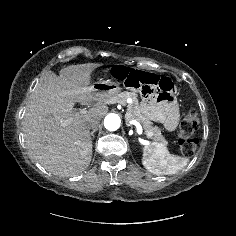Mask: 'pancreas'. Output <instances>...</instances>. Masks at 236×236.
Returning a JSON list of instances; mask_svg holds the SVG:
<instances>
[{
	"mask_svg": "<svg viewBox=\"0 0 236 236\" xmlns=\"http://www.w3.org/2000/svg\"><path fill=\"white\" fill-rule=\"evenodd\" d=\"M128 98H131L133 103L128 104L127 106L126 119L138 121L142 125L145 134L150 133V135H147L148 138H151L155 143H158L166 148L168 142L162 135L161 129L158 126H153V123L141 113L137 95L135 93L121 92L113 97L111 101H116L124 105L126 104V100Z\"/></svg>",
	"mask_w": 236,
	"mask_h": 236,
	"instance_id": "pancreas-1",
	"label": "pancreas"
}]
</instances>
